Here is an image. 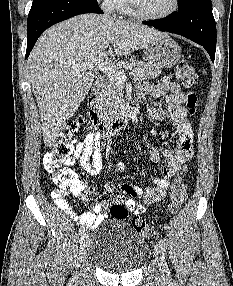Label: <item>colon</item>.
<instances>
[{"label": "colon", "mask_w": 233, "mask_h": 286, "mask_svg": "<svg viewBox=\"0 0 233 286\" xmlns=\"http://www.w3.org/2000/svg\"><path fill=\"white\" fill-rule=\"evenodd\" d=\"M177 78L186 88V104L190 114H194L198 104V96L193 90L197 76L194 68L186 61H180L177 65ZM84 124V118L78 117L60 136L54 146L43 157L44 169L52 176L59 189L80 190L82 183L73 170L63 166L73 156L75 150V136ZM187 197V186L183 177L178 176L172 186L169 197L168 212L175 214L179 211ZM130 209L121 202H115L110 206V214L117 219H126ZM132 226L140 235L148 238L154 237V231L140 216L132 218Z\"/></svg>", "instance_id": "colon-1"}]
</instances>
